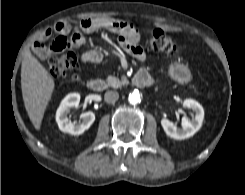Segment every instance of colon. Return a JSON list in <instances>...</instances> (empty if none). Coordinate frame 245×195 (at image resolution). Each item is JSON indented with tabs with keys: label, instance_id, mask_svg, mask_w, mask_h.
Listing matches in <instances>:
<instances>
[{
	"label": "colon",
	"instance_id": "5ec220e1",
	"mask_svg": "<svg viewBox=\"0 0 245 195\" xmlns=\"http://www.w3.org/2000/svg\"><path fill=\"white\" fill-rule=\"evenodd\" d=\"M149 50L163 52L168 57H178L179 49L173 40L161 30H154L146 41ZM47 70L54 78L75 79L77 77L78 57L69 52L59 57H52L47 61Z\"/></svg>",
	"mask_w": 245,
	"mask_h": 195
}]
</instances>
